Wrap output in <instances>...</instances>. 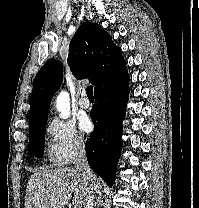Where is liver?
Masks as SVG:
<instances>
[{
    "instance_id": "1",
    "label": "liver",
    "mask_w": 199,
    "mask_h": 208,
    "mask_svg": "<svg viewBox=\"0 0 199 208\" xmlns=\"http://www.w3.org/2000/svg\"><path fill=\"white\" fill-rule=\"evenodd\" d=\"M95 184L101 193L103 180L95 176ZM90 196L89 180L75 168H40L28 181L25 208H65L72 197L74 207L82 208Z\"/></svg>"
}]
</instances>
